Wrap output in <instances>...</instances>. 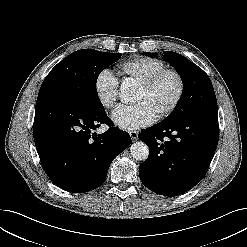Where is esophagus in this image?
<instances>
[{"instance_id":"obj_1","label":"esophagus","mask_w":247,"mask_h":247,"mask_svg":"<svg viewBox=\"0 0 247 247\" xmlns=\"http://www.w3.org/2000/svg\"><path fill=\"white\" fill-rule=\"evenodd\" d=\"M129 134L131 136V139L133 141H136L138 139V131L136 130H132V131H129Z\"/></svg>"}]
</instances>
